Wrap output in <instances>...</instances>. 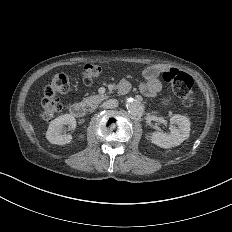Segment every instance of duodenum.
Returning <instances> with one entry per match:
<instances>
[{
	"label": "duodenum",
	"instance_id": "410a0bca",
	"mask_svg": "<svg viewBox=\"0 0 232 232\" xmlns=\"http://www.w3.org/2000/svg\"><path fill=\"white\" fill-rule=\"evenodd\" d=\"M69 112L76 118H82L85 115V108L79 103H74L70 105Z\"/></svg>",
	"mask_w": 232,
	"mask_h": 232
}]
</instances>
